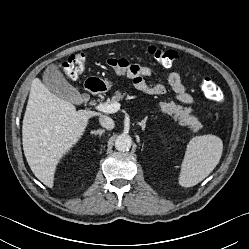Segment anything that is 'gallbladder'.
Masks as SVG:
<instances>
[{"mask_svg": "<svg viewBox=\"0 0 249 249\" xmlns=\"http://www.w3.org/2000/svg\"><path fill=\"white\" fill-rule=\"evenodd\" d=\"M43 82L45 86L58 97L74 104L82 102V95L78 89L65 79L57 65L51 64L46 68L43 74Z\"/></svg>", "mask_w": 249, "mask_h": 249, "instance_id": "bac80fb5", "label": "gallbladder"}]
</instances>
